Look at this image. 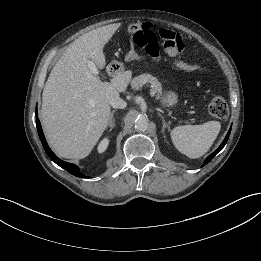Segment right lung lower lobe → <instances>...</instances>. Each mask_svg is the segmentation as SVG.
Segmentation results:
<instances>
[{
  "label": "right lung lower lobe",
  "mask_w": 261,
  "mask_h": 261,
  "mask_svg": "<svg viewBox=\"0 0 261 261\" xmlns=\"http://www.w3.org/2000/svg\"><path fill=\"white\" fill-rule=\"evenodd\" d=\"M36 126H37L38 134H39L40 140L42 142V145H43L47 155L50 157V159L53 162H55L57 165L62 167L63 169L67 170L69 173L73 174L74 176H77V177H80V178H86V176L83 175L79 171V168L76 165L62 161L51 151V149L49 148V146L46 142V139L44 137V134H43V131H42V128H41V124H40V121H39L38 116H37V112H36Z\"/></svg>",
  "instance_id": "1"
}]
</instances>
